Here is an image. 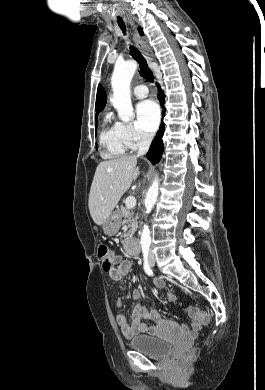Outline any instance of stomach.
I'll list each match as a JSON object with an SVG mask.
<instances>
[{
  "instance_id": "obj_1",
  "label": "stomach",
  "mask_w": 265,
  "mask_h": 390,
  "mask_svg": "<svg viewBox=\"0 0 265 390\" xmlns=\"http://www.w3.org/2000/svg\"><path fill=\"white\" fill-rule=\"evenodd\" d=\"M120 225L121 220L119 214L117 212H113L103 222L102 228L106 235L113 236L119 231Z\"/></svg>"
}]
</instances>
